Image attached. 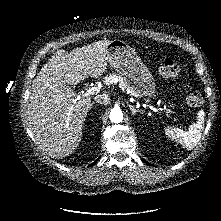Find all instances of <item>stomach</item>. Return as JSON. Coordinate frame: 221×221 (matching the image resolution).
Segmentation results:
<instances>
[{"label": "stomach", "instance_id": "stomach-1", "mask_svg": "<svg viewBox=\"0 0 221 221\" xmlns=\"http://www.w3.org/2000/svg\"><path fill=\"white\" fill-rule=\"evenodd\" d=\"M107 58L131 93L147 99L156 97L154 78L135 49L122 40H113L107 45Z\"/></svg>", "mask_w": 221, "mask_h": 221}]
</instances>
